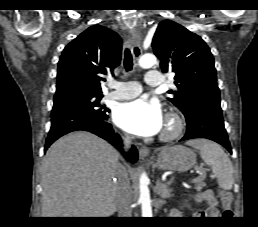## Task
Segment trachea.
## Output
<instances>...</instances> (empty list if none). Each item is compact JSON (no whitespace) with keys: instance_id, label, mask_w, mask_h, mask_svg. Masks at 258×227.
Returning a JSON list of instances; mask_svg holds the SVG:
<instances>
[{"instance_id":"3493384b","label":"trachea","mask_w":258,"mask_h":227,"mask_svg":"<svg viewBox=\"0 0 258 227\" xmlns=\"http://www.w3.org/2000/svg\"><path fill=\"white\" fill-rule=\"evenodd\" d=\"M124 67L127 72L131 71L133 68L132 54L128 48H126L124 52Z\"/></svg>"}]
</instances>
